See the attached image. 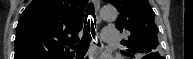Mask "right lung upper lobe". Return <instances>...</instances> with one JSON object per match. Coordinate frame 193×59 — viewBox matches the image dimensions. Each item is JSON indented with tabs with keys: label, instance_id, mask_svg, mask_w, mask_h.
I'll return each mask as SVG.
<instances>
[{
	"label": "right lung upper lobe",
	"instance_id": "right-lung-upper-lobe-1",
	"mask_svg": "<svg viewBox=\"0 0 193 59\" xmlns=\"http://www.w3.org/2000/svg\"><path fill=\"white\" fill-rule=\"evenodd\" d=\"M87 0H32L17 25L14 59H71Z\"/></svg>",
	"mask_w": 193,
	"mask_h": 59
}]
</instances>
